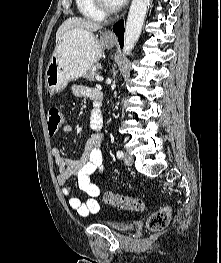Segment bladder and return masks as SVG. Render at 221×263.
<instances>
[{"instance_id":"bladder-1","label":"bladder","mask_w":221,"mask_h":263,"mask_svg":"<svg viewBox=\"0 0 221 263\" xmlns=\"http://www.w3.org/2000/svg\"><path fill=\"white\" fill-rule=\"evenodd\" d=\"M104 224L112 230L125 232L131 228V224L125 220H109L105 221Z\"/></svg>"}]
</instances>
